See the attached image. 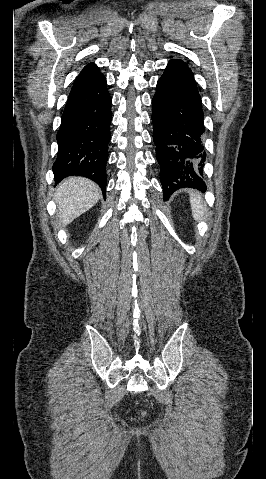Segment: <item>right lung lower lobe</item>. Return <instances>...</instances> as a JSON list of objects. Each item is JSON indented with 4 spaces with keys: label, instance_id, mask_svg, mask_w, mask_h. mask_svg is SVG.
I'll list each match as a JSON object with an SVG mask.
<instances>
[{
    "label": "right lung lower lobe",
    "instance_id": "98d812e1",
    "mask_svg": "<svg viewBox=\"0 0 266 479\" xmlns=\"http://www.w3.org/2000/svg\"><path fill=\"white\" fill-rule=\"evenodd\" d=\"M111 102L102 73L75 80L56 136V184L70 175L85 176L95 181L105 196Z\"/></svg>",
    "mask_w": 266,
    "mask_h": 479
}]
</instances>
